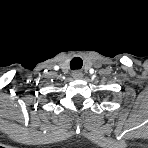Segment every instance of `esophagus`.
<instances>
[{
	"label": "esophagus",
	"mask_w": 148,
	"mask_h": 148,
	"mask_svg": "<svg viewBox=\"0 0 148 148\" xmlns=\"http://www.w3.org/2000/svg\"><path fill=\"white\" fill-rule=\"evenodd\" d=\"M83 76H84V74H83L81 71H79V70H74V71L72 72V77H73L74 79H82Z\"/></svg>",
	"instance_id": "34e87169"
}]
</instances>
